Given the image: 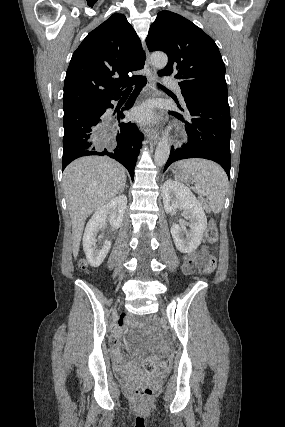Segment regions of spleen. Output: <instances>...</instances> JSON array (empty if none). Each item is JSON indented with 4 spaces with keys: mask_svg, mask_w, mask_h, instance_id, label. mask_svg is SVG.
I'll use <instances>...</instances> for the list:
<instances>
[{
    "mask_svg": "<svg viewBox=\"0 0 285 427\" xmlns=\"http://www.w3.org/2000/svg\"><path fill=\"white\" fill-rule=\"evenodd\" d=\"M176 166L186 168L193 174L197 187L209 197L210 208L214 213H219L228 188V178L221 166L201 159L182 160Z\"/></svg>",
    "mask_w": 285,
    "mask_h": 427,
    "instance_id": "spleen-1",
    "label": "spleen"
}]
</instances>
